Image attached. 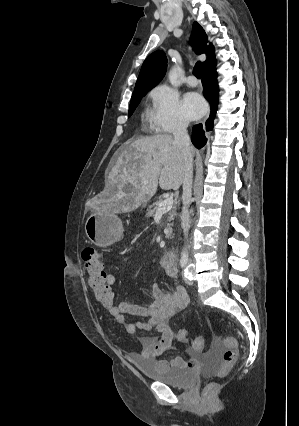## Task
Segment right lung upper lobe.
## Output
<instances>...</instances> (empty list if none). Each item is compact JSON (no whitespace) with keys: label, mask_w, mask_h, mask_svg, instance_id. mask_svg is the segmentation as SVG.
I'll list each match as a JSON object with an SVG mask.
<instances>
[{"label":"right lung upper lobe","mask_w":299,"mask_h":426,"mask_svg":"<svg viewBox=\"0 0 299 426\" xmlns=\"http://www.w3.org/2000/svg\"><path fill=\"white\" fill-rule=\"evenodd\" d=\"M207 35L203 28L194 22L191 33V43L197 54L205 53L207 61L203 64L204 70L216 64L214 58V47L207 46ZM167 67V58L163 51L157 50L150 54L143 62L139 77L133 93L149 91L155 87L164 77Z\"/></svg>","instance_id":"right-lung-upper-lobe-1"}]
</instances>
